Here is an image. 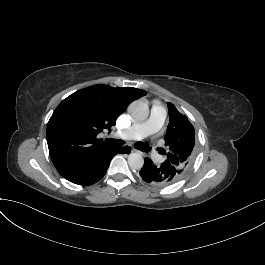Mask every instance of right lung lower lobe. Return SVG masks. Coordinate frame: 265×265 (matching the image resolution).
I'll list each match as a JSON object with an SVG mask.
<instances>
[{
	"label": "right lung lower lobe",
	"mask_w": 265,
	"mask_h": 265,
	"mask_svg": "<svg viewBox=\"0 0 265 265\" xmlns=\"http://www.w3.org/2000/svg\"><path fill=\"white\" fill-rule=\"evenodd\" d=\"M130 147L124 146L122 148H111L100 159H98L84 174L78 178L69 180L72 183L79 185H91L98 182L106 174L110 161L116 154H129Z\"/></svg>",
	"instance_id": "1"
}]
</instances>
